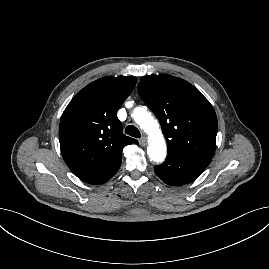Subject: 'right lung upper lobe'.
<instances>
[{"label": "right lung upper lobe", "instance_id": "cb5924a9", "mask_svg": "<svg viewBox=\"0 0 269 269\" xmlns=\"http://www.w3.org/2000/svg\"><path fill=\"white\" fill-rule=\"evenodd\" d=\"M136 84L134 76H108L77 93L60 120L62 156L82 181L102 184L118 171L122 149L138 141L123 134L117 111Z\"/></svg>", "mask_w": 269, "mask_h": 269}]
</instances>
